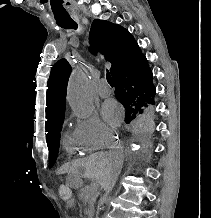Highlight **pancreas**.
Segmentation results:
<instances>
[{
    "label": "pancreas",
    "instance_id": "obj_1",
    "mask_svg": "<svg viewBox=\"0 0 211 218\" xmlns=\"http://www.w3.org/2000/svg\"><path fill=\"white\" fill-rule=\"evenodd\" d=\"M81 195V200H87V205H96L97 201L94 200V195L96 194L95 186H83V190L79 191Z\"/></svg>",
    "mask_w": 211,
    "mask_h": 218
}]
</instances>
